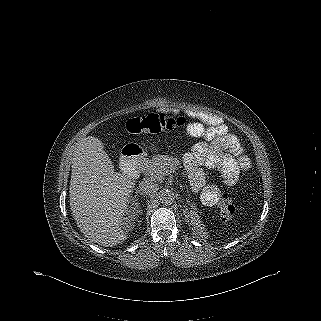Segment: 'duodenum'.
I'll return each mask as SVG.
<instances>
[{
	"label": "duodenum",
	"mask_w": 321,
	"mask_h": 321,
	"mask_svg": "<svg viewBox=\"0 0 321 321\" xmlns=\"http://www.w3.org/2000/svg\"><path fill=\"white\" fill-rule=\"evenodd\" d=\"M132 161H138V163H140L141 161H143V157H138V156H134V155H131V154L123 155V156H121L120 168L123 171H130L131 170L130 163Z\"/></svg>",
	"instance_id": "410a0bca"
}]
</instances>
